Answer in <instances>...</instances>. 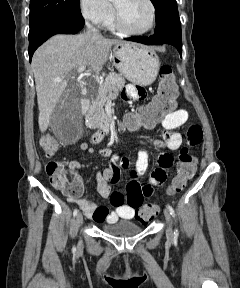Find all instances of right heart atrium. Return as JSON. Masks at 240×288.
Masks as SVG:
<instances>
[{"mask_svg": "<svg viewBox=\"0 0 240 288\" xmlns=\"http://www.w3.org/2000/svg\"><path fill=\"white\" fill-rule=\"evenodd\" d=\"M83 17L98 25H104L113 19L114 10L108 0H79Z\"/></svg>", "mask_w": 240, "mask_h": 288, "instance_id": "obj_1", "label": "right heart atrium"}]
</instances>
